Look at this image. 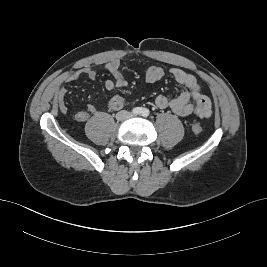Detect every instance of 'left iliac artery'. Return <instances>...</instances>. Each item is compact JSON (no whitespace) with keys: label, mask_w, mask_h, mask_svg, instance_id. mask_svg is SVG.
<instances>
[{"label":"left iliac artery","mask_w":267,"mask_h":267,"mask_svg":"<svg viewBox=\"0 0 267 267\" xmlns=\"http://www.w3.org/2000/svg\"><path fill=\"white\" fill-rule=\"evenodd\" d=\"M149 115V111L147 109H144L142 111V116L147 117Z\"/></svg>","instance_id":"1"}]
</instances>
